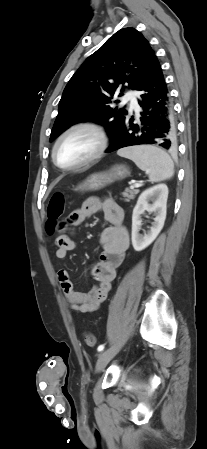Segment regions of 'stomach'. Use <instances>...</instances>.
Segmentation results:
<instances>
[{
    "instance_id": "1",
    "label": "stomach",
    "mask_w": 207,
    "mask_h": 449,
    "mask_svg": "<svg viewBox=\"0 0 207 449\" xmlns=\"http://www.w3.org/2000/svg\"><path fill=\"white\" fill-rule=\"evenodd\" d=\"M130 174L125 165H115L108 171L93 173L76 187V191H97L115 181L122 180Z\"/></svg>"
}]
</instances>
